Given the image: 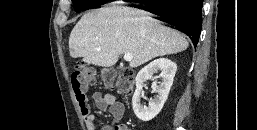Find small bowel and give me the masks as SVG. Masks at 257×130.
<instances>
[{
  "label": "small bowel",
  "mask_w": 257,
  "mask_h": 130,
  "mask_svg": "<svg viewBox=\"0 0 257 130\" xmlns=\"http://www.w3.org/2000/svg\"><path fill=\"white\" fill-rule=\"evenodd\" d=\"M76 99L84 117L87 130H97V120L90 111L87 98L83 101L78 98ZM93 101L99 111L108 112L111 116V122L104 125L101 130H131L127 125L119 124L125 114V105L118 101L114 95L95 92L93 94Z\"/></svg>",
  "instance_id": "small-bowel-1"
}]
</instances>
